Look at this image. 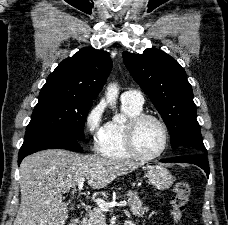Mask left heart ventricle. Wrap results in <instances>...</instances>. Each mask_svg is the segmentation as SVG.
I'll list each match as a JSON object with an SVG mask.
<instances>
[{"label":"left heart ventricle","mask_w":228,"mask_h":225,"mask_svg":"<svg viewBox=\"0 0 228 225\" xmlns=\"http://www.w3.org/2000/svg\"><path fill=\"white\" fill-rule=\"evenodd\" d=\"M164 143V132L161 125L152 120H146L139 128L137 144L140 151L146 155L159 152Z\"/></svg>","instance_id":"left-heart-ventricle-1"}]
</instances>
